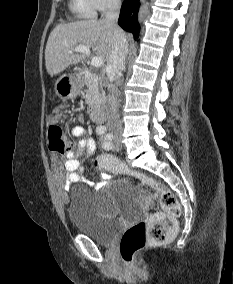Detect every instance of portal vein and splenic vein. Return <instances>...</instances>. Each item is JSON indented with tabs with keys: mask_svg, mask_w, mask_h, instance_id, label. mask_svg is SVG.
I'll return each instance as SVG.
<instances>
[{
	"mask_svg": "<svg viewBox=\"0 0 233 284\" xmlns=\"http://www.w3.org/2000/svg\"><path fill=\"white\" fill-rule=\"evenodd\" d=\"M69 52L70 53H72V52H81V53H84L86 55H90V53H91L90 49L87 46H84V45H78V46L74 47L73 49H71ZM103 64H104V61L100 57H94L91 60V65L93 67H97L98 68V67H101Z\"/></svg>",
	"mask_w": 233,
	"mask_h": 284,
	"instance_id": "18ae733b",
	"label": "portal vein and splenic vein"
}]
</instances>
